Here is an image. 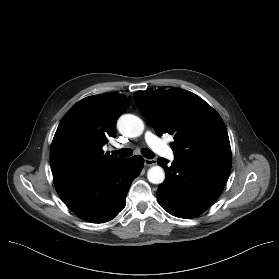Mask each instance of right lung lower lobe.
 Returning <instances> with one entry per match:
<instances>
[{
    "label": "right lung lower lobe",
    "instance_id": "98d812e1",
    "mask_svg": "<svg viewBox=\"0 0 279 279\" xmlns=\"http://www.w3.org/2000/svg\"><path fill=\"white\" fill-rule=\"evenodd\" d=\"M143 163L141 156L122 159L106 170L56 186V190L80 218L93 223L107 222L125 207L127 192Z\"/></svg>",
    "mask_w": 279,
    "mask_h": 279
}]
</instances>
